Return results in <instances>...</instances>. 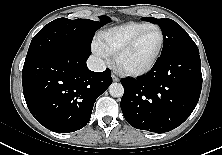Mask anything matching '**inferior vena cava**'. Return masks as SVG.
<instances>
[{"instance_id":"602c4592","label":"inferior vena cava","mask_w":222,"mask_h":155,"mask_svg":"<svg viewBox=\"0 0 222 155\" xmlns=\"http://www.w3.org/2000/svg\"><path fill=\"white\" fill-rule=\"evenodd\" d=\"M87 66L91 71L94 72H102L106 69L105 62L101 58L93 55L87 60Z\"/></svg>"}]
</instances>
